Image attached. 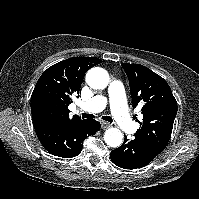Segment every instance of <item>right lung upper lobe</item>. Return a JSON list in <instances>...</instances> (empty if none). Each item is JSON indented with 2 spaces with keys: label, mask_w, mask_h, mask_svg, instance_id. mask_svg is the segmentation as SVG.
I'll use <instances>...</instances> for the list:
<instances>
[{
  "label": "right lung upper lobe",
  "mask_w": 199,
  "mask_h": 199,
  "mask_svg": "<svg viewBox=\"0 0 199 199\" xmlns=\"http://www.w3.org/2000/svg\"><path fill=\"white\" fill-rule=\"evenodd\" d=\"M102 62L95 57H72L48 68L39 78L31 96L34 126L42 123L69 124L81 121L69 119L68 106L79 96L85 73Z\"/></svg>",
  "instance_id": "obj_1"
}]
</instances>
